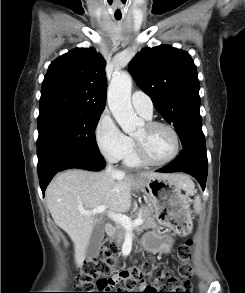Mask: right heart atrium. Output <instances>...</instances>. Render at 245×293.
<instances>
[{
  "label": "right heart atrium",
  "mask_w": 245,
  "mask_h": 293,
  "mask_svg": "<svg viewBox=\"0 0 245 293\" xmlns=\"http://www.w3.org/2000/svg\"><path fill=\"white\" fill-rule=\"evenodd\" d=\"M96 143L110 161L123 159L133 148V141L126 136L108 115H102L95 129Z\"/></svg>",
  "instance_id": "1"
}]
</instances>
